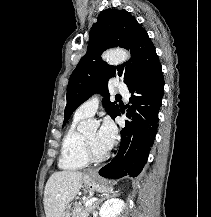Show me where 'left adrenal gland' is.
Instances as JSON below:
<instances>
[{
    "mask_svg": "<svg viewBox=\"0 0 211 217\" xmlns=\"http://www.w3.org/2000/svg\"><path fill=\"white\" fill-rule=\"evenodd\" d=\"M117 194V192H113L112 195L109 194H104V196H102V198H100L95 204H94V209L98 208L99 204L105 199V198H109L110 196H115Z\"/></svg>",
    "mask_w": 211,
    "mask_h": 217,
    "instance_id": "obj_1",
    "label": "left adrenal gland"
}]
</instances>
